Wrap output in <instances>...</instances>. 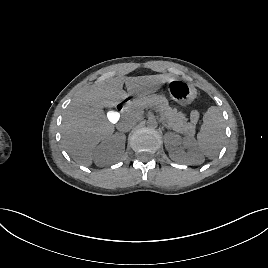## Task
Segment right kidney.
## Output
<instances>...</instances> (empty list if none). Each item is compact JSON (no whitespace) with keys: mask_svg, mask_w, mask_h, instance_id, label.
<instances>
[{"mask_svg":"<svg viewBox=\"0 0 268 268\" xmlns=\"http://www.w3.org/2000/svg\"><path fill=\"white\" fill-rule=\"evenodd\" d=\"M126 136L121 133L104 139L94 150V162L99 167L117 162L124 153Z\"/></svg>","mask_w":268,"mask_h":268,"instance_id":"1","label":"right kidney"}]
</instances>
